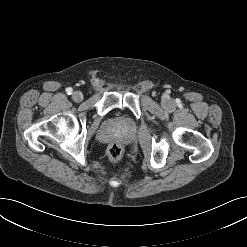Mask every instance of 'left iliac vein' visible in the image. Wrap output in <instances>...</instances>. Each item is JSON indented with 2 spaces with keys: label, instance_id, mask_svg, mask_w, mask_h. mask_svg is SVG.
<instances>
[{
  "label": "left iliac vein",
  "instance_id": "4c4485c4",
  "mask_svg": "<svg viewBox=\"0 0 247 247\" xmlns=\"http://www.w3.org/2000/svg\"><path fill=\"white\" fill-rule=\"evenodd\" d=\"M163 106H164V108H171L172 106H173V102L172 101H170V100H165L164 102H163Z\"/></svg>",
  "mask_w": 247,
  "mask_h": 247
}]
</instances>
